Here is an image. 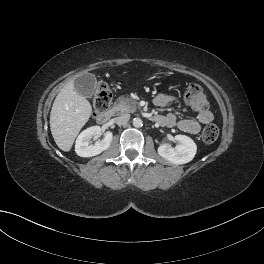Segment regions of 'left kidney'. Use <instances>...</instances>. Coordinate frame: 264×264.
I'll list each match as a JSON object with an SVG mask.
<instances>
[{
  "mask_svg": "<svg viewBox=\"0 0 264 264\" xmlns=\"http://www.w3.org/2000/svg\"><path fill=\"white\" fill-rule=\"evenodd\" d=\"M175 140L180 142V145L172 148L167 144H162L158 147V154L165 160L177 165L186 164L193 160L197 151L194 141L185 135H176Z\"/></svg>",
  "mask_w": 264,
  "mask_h": 264,
  "instance_id": "left-kidney-1",
  "label": "left kidney"
}]
</instances>
